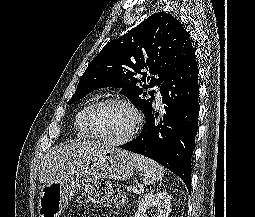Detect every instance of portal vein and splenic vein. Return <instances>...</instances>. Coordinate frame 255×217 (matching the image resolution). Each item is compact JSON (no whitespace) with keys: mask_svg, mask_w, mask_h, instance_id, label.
Returning a JSON list of instances; mask_svg holds the SVG:
<instances>
[{"mask_svg":"<svg viewBox=\"0 0 255 217\" xmlns=\"http://www.w3.org/2000/svg\"><path fill=\"white\" fill-rule=\"evenodd\" d=\"M126 189H127L128 192H130L132 190V187L131 186H127Z\"/></svg>","mask_w":255,"mask_h":217,"instance_id":"1","label":"portal vein and splenic vein"}]
</instances>
